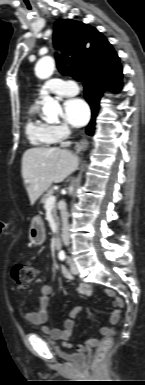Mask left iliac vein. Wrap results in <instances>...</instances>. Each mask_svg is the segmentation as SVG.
<instances>
[{
  "label": "left iliac vein",
  "mask_w": 145,
  "mask_h": 385,
  "mask_svg": "<svg viewBox=\"0 0 145 385\" xmlns=\"http://www.w3.org/2000/svg\"><path fill=\"white\" fill-rule=\"evenodd\" d=\"M67 261L70 264V270H71L72 274L77 275L78 274V268L75 265V263L73 262L72 258L68 257Z\"/></svg>",
  "instance_id": "1"
}]
</instances>
